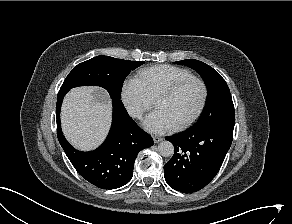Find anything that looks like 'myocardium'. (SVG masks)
Listing matches in <instances>:
<instances>
[{
  "mask_svg": "<svg viewBox=\"0 0 292 224\" xmlns=\"http://www.w3.org/2000/svg\"><path fill=\"white\" fill-rule=\"evenodd\" d=\"M193 82L198 83L202 89L201 102H200L197 110L194 112V114L190 118H188L185 122L174 126V129L176 131H182V130L187 129L202 115V113L206 107V104L208 101V95H209L208 86H207L206 82L199 77L191 76V77L182 79V80L166 87L155 98L154 104L156 106V104L159 100L164 99V98H170V97L176 95L183 88H185L187 85H189L190 83H193Z\"/></svg>",
  "mask_w": 292,
  "mask_h": 224,
  "instance_id": "obj_1",
  "label": "myocardium"
}]
</instances>
